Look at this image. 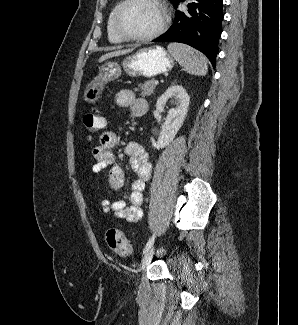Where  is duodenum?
Returning <instances> with one entry per match:
<instances>
[{"label":"duodenum","instance_id":"410a0bca","mask_svg":"<svg viewBox=\"0 0 298 325\" xmlns=\"http://www.w3.org/2000/svg\"><path fill=\"white\" fill-rule=\"evenodd\" d=\"M147 111V105L145 103L139 104L136 108L135 114L136 116H142Z\"/></svg>","mask_w":298,"mask_h":325}]
</instances>
